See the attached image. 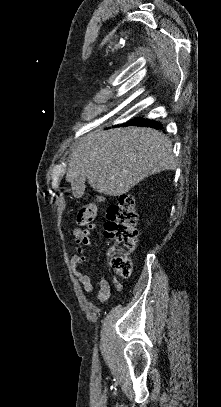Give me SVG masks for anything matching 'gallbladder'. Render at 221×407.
<instances>
[{"label":"gallbladder","instance_id":"bac80fb5","mask_svg":"<svg viewBox=\"0 0 221 407\" xmlns=\"http://www.w3.org/2000/svg\"><path fill=\"white\" fill-rule=\"evenodd\" d=\"M85 180H86V178L84 176H79L73 180L71 185H72L75 195H78L84 191Z\"/></svg>","mask_w":221,"mask_h":407}]
</instances>
